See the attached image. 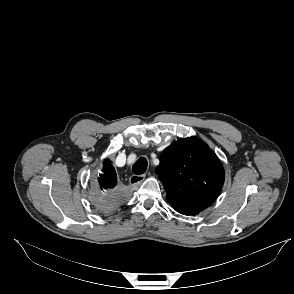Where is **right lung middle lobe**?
<instances>
[{
  "label": "right lung middle lobe",
  "mask_w": 294,
  "mask_h": 294,
  "mask_svg": "<svg viewBox=\"0 0 294 294\" xmlns=\"http://www.w3.org/2000/svg\"><path fill=\"white\" fill-rule=\"evenodd\" d=\"M91 201L101 212H108L116 208L122 199V193L119 190L105 192L103 188L96 187L91 195Z\"/></svg>",
  "instance_id": "right-lung-middle-lobe-1"
}]
</instances>
